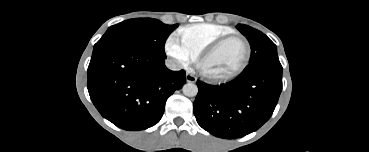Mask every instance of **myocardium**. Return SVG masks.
<instances>
[{
	"label": "myocardium",
	"mask_w": 369,
	"mask_h": 152,
	"mask_svg": "<svg viewBox=\"0 0 369 152\" xmlns=\"http://www.w3.org/2000/svg\"><path fill=\"white\" fill-rule=\"evenodd\" d=\"M233 39L241 40L245 46V57L241 65L235 71L227 75L219 76V75H213V74L206 72L203 69L204 61L208 57H210L212 54H214L217 50H219L225 43ZM250 58H251V46H250L249 41L243 35L233 33V34L220 37L219 39L215 40L213 43L208 45L199 55V59L197 62V68L202 76H204L206 79L212 82H227V81L233 80L236 77H238L246 69V67L249 64Z\"/></svg>",
	"instance_id": "obj_1"
}]
</instances>
